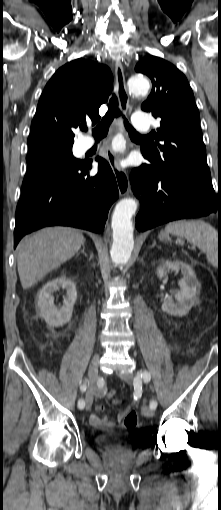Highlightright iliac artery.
I'll use <instances>...</instances> for the list:
<instances>
[{"instance_id": "82829eb1", "label": "right iliac artery", "mask_w": 221, "mask_h": 510, "mask_svg": "<svg viewBox=\"0 0 221 510\" xmlns=\"http://www.w3.org/2000/svg\"><path fill=\"white\" fill-rule=\"evenodd\" d=\"M86 388H87V382L86 381L81 382V386H80L81 391L82 392L86 391ZM84 407H85V402L83 399H80L78 401V408L83 409Z\"/></svg>"}]
</instances>
